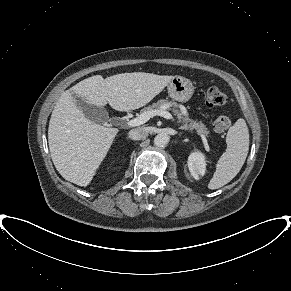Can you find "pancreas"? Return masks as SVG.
<instances>
[{"label": "pancreas", "instance_id": "obj_1", "mask_svg": "<svg viewBox=\"0 0 291 291\" xmlns=\"http://www.w3.org/2000/svg\"><path fill=\"white\" fill-rule=\"evenodd\" d=\"M169 106L178 107L174 102H168L167 100H159L158 102L149 105L148 107L142 109V113L150 112L154 110L162 109L163 107L167 108ZM174 115L177 116L178 122L182 124L180 127L183 130H196L200 136H207L209 131L206 126L201 121H194L189 119L188 113L185 111H179L178 109H173Z\"/></svg>", "mask_w": 291, "mask_h": 291}]
</instances>
